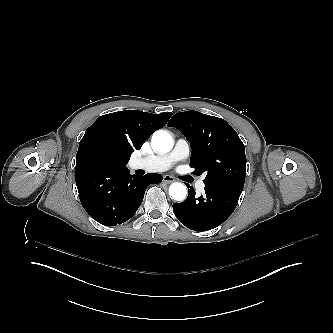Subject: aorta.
<instances>
[{"label":"aorta","mask_w":333,"mask_h":333,"mask_svg":"<svg viewBox=\"0 0 333 333\" xmlns=\"http://www.w3.org/2000/svg\"><path fill=\"white\" fill-rule=\"evenodd\" d=\"M171 135L164 130H157L152 136V146L159 153H168L173 148ZM169 195L176 201H183L187 195L186 186L179 182H174L169 187Z\"/></svg>","instance_id":"762f6f07"}]
</instances>
